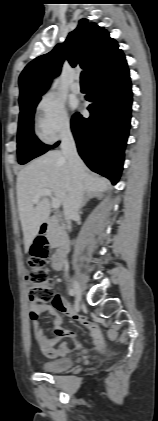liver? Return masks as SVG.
Returning <instances> with one entry per match:
<instances>
[{"mask_svg":"<svg viewBox=\"0 0 158 421\" xmlns=\"http://www.w3.org/2000/svg\"><path fill=\"white\" fill-rule=\"evenodd\" d=\"M71 182L68 161L59 150L46 152L19 172L16 185L17 202L26 250L37 236L40 226L50 215L48 198L41 196L36 204L33 203V198L40 190L49 189L56 199L63 203ZM83 185L84 191L92 196V193L106 191L110 187V182L91 174L84 165Z\"/></svg>","mask_w":158,"mask_h":421,"instance_id":"obj_1","label":"liver"}]
</instances>
